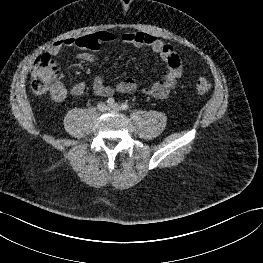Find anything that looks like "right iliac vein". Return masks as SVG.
Here are the masks:
<instances>
[{
	"mask_svg": "<svg viewBox=\"0 0 263 263\" xmlns=\"http://www.w3.org/2000/svg\"><path fill=\"white\" fill-rule=\"evenodd\" d=\"M97 109L100 111V112H105L106 110H108V106L106 105V103L104 102H101L97 105Z\"/></svg>",
	"mask_w": 263,
	"mask_h": 263,
	"instance_id": "1",
	"label": "right iliac vein"
}]
</instances>
